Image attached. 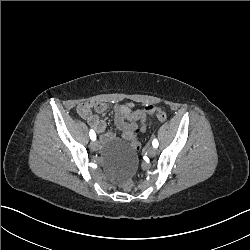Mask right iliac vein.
Segmentation results:
<instances>
[{
    "label": "right iliac vein",
    "instance_id": "63e3f726",
    "mask_svg": "<svg viewBox=\"0 0 250 250\" xmlns=\"http://www.w3.org/2000/svg\"><path fill=\"white\" fill-rule=\"evenodd\" d=\"M90 147L93 151H97L99 148L98 142L96 140H93L90 144Z\"/></svg>",
    "mask_w": 250,
    "mask_h": 250
}]
</instances>
